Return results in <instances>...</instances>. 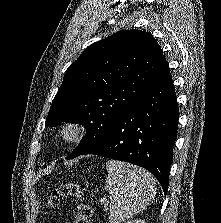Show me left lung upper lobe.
<instances>
[{"label":"left lung upper lobe","instance_id":"obj_1","mask_svg":"<svg viewBox=\"0 0 221 223\" xmlns=\"http://www.w3.org/2000/svg\"><path fill=\"white\" fill-rule=\"evenodd\" d=\"M165 63L155 38L140 30L119 31L85 49L68 67L46 118V126L80 119L75 123L86 127L67 159L99 141Z\"/></svg>","mask_w":221,"mask_h":223}]
</instances>
